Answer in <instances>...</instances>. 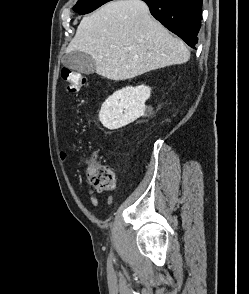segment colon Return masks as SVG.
I'll return each mask as SVG.
<instances>
[{"label": "colon", "mask_w": 249, "mask_h": 294, "mask_svg": "<svg viewBox=\"0 0 249 294\" xmlns=\"http://www.w3.org/2000/svg\"><path fill=\"white\" fill-rule=\"evenodd\" d=\"M62 78L71 92L79 91L86 83L85 76L75 70L63 68ZM87 183L99 191H111L115 188V174L109 165L91 163L85 170Z\"/></svg>", "instance_id": "1"}]
</instances>
